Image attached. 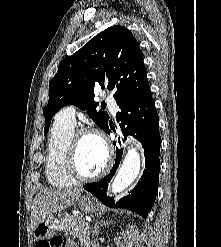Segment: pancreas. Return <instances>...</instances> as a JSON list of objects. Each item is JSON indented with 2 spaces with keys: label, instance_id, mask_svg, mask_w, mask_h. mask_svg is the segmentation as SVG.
Masks as SVG:
<instances>
[{
  "label": "pancreas",
  "instance_id": "cf45deb5",
  "mask_svg": "<svg viewBox=\"0 0 221 247\" xmlns=\"http://www.w3.org/2000/svg\"><path fill=\"white\" fill-rule=\"evenodd\" d=\"M66 236L71 235L78 239L83 247H89L90 237L86 222L80 216H69L60 220L57 225Z\"/></svg>",
  "mask_w": 221,
  "mask_h": 247
}]
</instances>
